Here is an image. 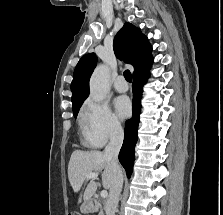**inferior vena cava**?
<instances>
[{
  "instance_id": "1",
  "label": "inferior vena cava",
  "mask_w": 223,
  "mask_h": 215,
  "mask_svg": "<svg viewBox=\"0 0 223 215\" xmlns=\"http://www.w3.org/2000/svg\"><path fill=\"white\" fill-rule=\"evenodd\" d=\"M124 131L122 127H113L110 131V141L104 149L105 157L110 159L113 179L109 189L108 199L105 203L106 215H115L117 209L120 191L123 185V175L118 163V153L122 145Z\"/></svg>"
}]
</instances>
